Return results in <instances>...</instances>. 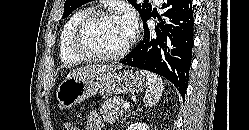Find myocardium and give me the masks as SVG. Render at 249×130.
Wrapping results in <instances>:
<instances>
[{"mask_svg": "<svg viewBox=\"0 0 249 130\" xmlns=\"http://www.w3.org/2000/svg\"><path fill=\"white\" fill-rule=\"evenodd\" d=\"M120 15L112 9H95L86 14L78 23L72 41L74 52L83 59L94 61H115L123 58L132 47L136 34H132L131 38L118 52L112 54H103L90 49L85 42V35L88 27L97 19L102 17H112Z\"/></svg>", "mask_w": 249, "mask_h": 130, "instance_id": "1", "label": "myocardium"}]
</instances>
